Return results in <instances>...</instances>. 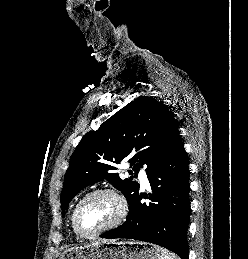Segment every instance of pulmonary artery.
Here are the masks:
<instances>
[{
    "instance_id": "obj_1",
    "label": "pulmonary artery",
    "mask_w": 248,
    "mask_h": 259,
    "mask_svg": "<svg viewBox=\"0 0 248 259\" xmlns=\"http://www.w3.org/2000/svg\"><path fill=\"white\" fill-rule=\"evenodd\" d=\"M139 179L141 181V184L143 187H148L149 186V182H148V179H147V176L144 172H141L140 175H139Z\"/></svg>"
}]
</instances>
